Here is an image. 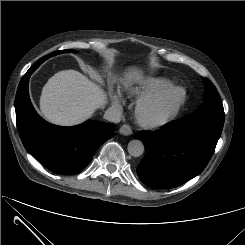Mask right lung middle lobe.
I'll return each instance as SVG.
<instances>
[{
    "instance_id": "right-lung-middle-lobe-1",
    "label": "right lung middle lobe",
    "mask_w": 245,
    "mask_h": 245,
    "mask_svg": "<svg viewBox=\"0 0 245 245\" xmlns=\"http://www.w3.org/2000/svg\"><path fill=\"white\" fill-rule=\"evenodd\" d=\"M64 52H75V51L74 50H70V49L62 50V51H56V52H53V53L47 55L46 58H48L50 56H53V55H56V54H59V53H64ZM43 60H41V59L39 60L40 61L39 65L41 64V62H43Z\"/></svg>"
}]
</instances>
